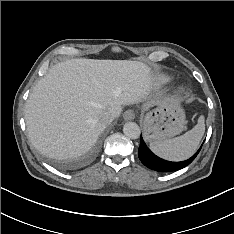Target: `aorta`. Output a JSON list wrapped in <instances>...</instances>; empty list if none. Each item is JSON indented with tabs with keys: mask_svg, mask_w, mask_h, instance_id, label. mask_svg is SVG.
Masks as SVG:
<instances>
[{
	"mask_svg": "<svg viewBox=\"0 0 234 234\" xmlns=\"http://www.w3.org/2000/svg\"><path fill=\"white\" fill-rule=\"evenodd\" d=\"M123 132L124 134L131 139H137L140 136V128L139 126L134 122H127L123 126Z\"/></svg>",
	"mask_w": 234,
	"mask_h": 234,
	"instance_id": "1",
	"label": "aorta"
}]
</instances>
